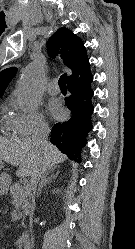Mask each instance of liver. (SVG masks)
Listing matches in <instances>:
<instances>
[{
    "instance_id": "obj_1",
    "label": "liver",
    "mask_w": 135,
    "mask_h": 249,
    "mask_svg": "<svg viewBox=\"0 0 135 249\" xmlns=\"http://www.w3.org/2000/svg\"><path fill=\"white\" fill-rule=\"evenodd\" d=\"M66 159L67 156L49 142L46 147H40L32 138L0 137V160L13 166H19L16 174L21 177H31L38 170L45 173Z\"/></svg>"
}]
</instances>
